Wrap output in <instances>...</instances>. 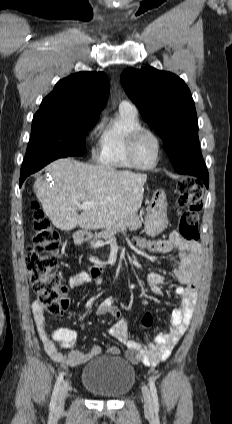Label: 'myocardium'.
<instances>
[{
    "mask_svg": "<svg viewBox=\"0 0 232 424\" xmlns=\"http://www.w3.org/2000/svg\"><path fill=\"white\" fill-rule=\"evenodd\" d=\"M142 134H149L151 135L157 144V153H156V158L154 160L153 163H151L150 165H141L136 161L135 155H134V148H135V144L138 140V138L142 135ZM161 153H162V142L160 137L158 136V134L153 131L150 128L147 127H138L135 130H133L129 137H128V141H127V156L128 159L130 161V163L132 164V166L134 168L140 169V170H150L153 169L154 167H156L160 161L161 158Z\"/></svg>",
    "mask_w": 232,
    "mask_h": 424,
    "instance_id": "myocardium-1",
    "label": "myocardium"
}]
</instances>
